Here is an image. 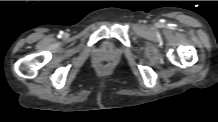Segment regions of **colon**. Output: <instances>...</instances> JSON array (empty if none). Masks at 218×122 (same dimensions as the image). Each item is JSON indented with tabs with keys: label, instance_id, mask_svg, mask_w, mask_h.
I'll list each match as a JSON object with an SVG mask.
<instances>
[{
	"label": "colon",
	"instance_id": "obj_1",
	"mask_svg": "<svg viewBox=\"0 0 218 122\" xmlns=\"http://www.w3.org/2000/svg\"><path fill=\"white\" fill-rule=\"evenodd\" d=\"M112 67V62L109 59H103L99 62L98 68L101 71H108Z\"/></svg>",
	"mask_w": 218,
	"mask_h": 122
}]
</instances>
